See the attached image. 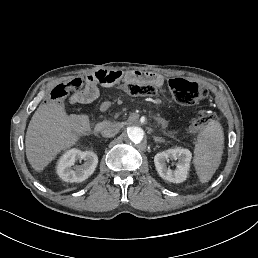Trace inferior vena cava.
<instances>
[{
	"label": "inferior vena cava",
	"mask_w": 258,
	"mask_h": 258,
	"mask_svg": "<svg viewBox=\"0 0 258 258\" xmlns=\"http://www.w3.org/2000/svg\"><path fill=\"white\" fill-rule=\"evenodd\" d=\"M119 131L118 128H116V126L114 124H106L101 133L104 137H112L114 136L115 134H117Z\"/></svg>",
	"instance_id": "602c4592"
}]
</instances>
